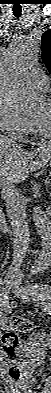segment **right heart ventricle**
<instances>
[{
	"instance_id": "1",
	"label": "right heart ventricle",
	"mask_w": 51,
	"mask_h": 393,
	"mask_svg": "<svg viewBox=\"0 0 51 393\" xmlns=\"http://www.w3.org/2000/svg\"><path fill=\"white\" fill-rule=\"evenodd\" d=\"M32 131H36V126H35V124H33Z\"/></svg>"
}]
</instances>
